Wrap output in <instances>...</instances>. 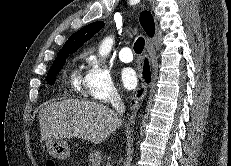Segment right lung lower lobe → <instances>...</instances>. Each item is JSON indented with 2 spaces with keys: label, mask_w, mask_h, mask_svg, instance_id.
<instances>
[{
  "label": "right lung lower lobe",
  "mask_w": 231,
  "mask_h": 166,
  "mask_svg": "<svg viewBox=\"0 0 231 166\" xmlns=\"http://www.w3.org/2000/svg\"><path fill=\"white\" fill-rule=\"evenodd\" d=\"M143 75H144L146 82L149 83V81H150V68H149V64H148L147 59H145V62H144ZM140 94H142V90L139 91L138 96H140Z\"/></svg>",
  "instance_id": "obj_1"
}]
</instances>
